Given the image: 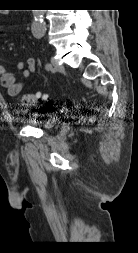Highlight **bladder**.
Instances as JSON below:
<instances>
[{"label": "bladder", "instance_id": "1", "mask_svg": "<svg viewBox=\"0 0 138 253\" xmlns=\"http://www.w3.org/2000/svg\"><path fill=\"white\" fill-rule=\"evenodd\" d=\"M59 119L56 117H48L46 119H31L29 124L32 127L42 129V130H51L57 126Z\"/></svg>", "mask_w": 138, "mask_h": 253}]
</instances>
